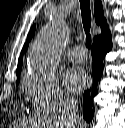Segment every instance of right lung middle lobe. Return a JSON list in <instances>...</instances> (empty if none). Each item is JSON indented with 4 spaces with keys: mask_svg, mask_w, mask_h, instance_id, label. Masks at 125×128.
<instances>
[{
    "mask_svg": "<svg viewBox=\"0 0 125 128\" xmlns=\"http://www.w3.org/2000/svg\"><path fill=\"white\" fill-rule=\"evenodd\" d=\"M20 81V73L17 74V84L19 83Z\"/></svg>",
    "mask_w": 125,
    "mask_h": 128,
    "instance_id": "obj_1",
    "label": "right lung middle lobe"
}]
</instances>
